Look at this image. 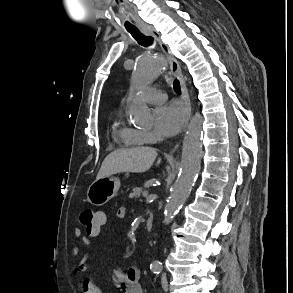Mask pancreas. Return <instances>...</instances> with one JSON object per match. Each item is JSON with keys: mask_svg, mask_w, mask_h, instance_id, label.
Wrapping results in <instances>:
<instances>
[{"mask_svg": "<svg viewBox=\"0 0 293 293\" xmlns=\"http://www.w3.org/2000/svg\"><path fill=\"white\" fill-rule=\"evenodd\" d=\"M145 192L144 188L142 187H135L133 188V192L129 194V198L131 199H138L141 195Z\"/></svg>", "mask_w": 293, "mask_h": 293, "instance_id": "pancreas-1", "label": "pancreas"}]
</instances>
